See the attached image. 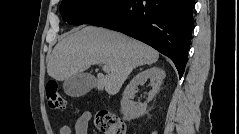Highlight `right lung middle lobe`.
<instances>
[{
  "label": "right lung middle lobe",
  "mask_w": 239,
  "mask_h": 134,
  "mask_svg": "<svg viewBox=\"0 0 239 134\" xmlns=\"http://www.w3.org/2000/svg\"><path fill=\"white\" fill-rule=\"evenodd\" d=\"M117 1L118 0H62L60 12L64 21L73 25H81Z\"/></svg>",
  "instance_id": "1"
}]
</instances>
